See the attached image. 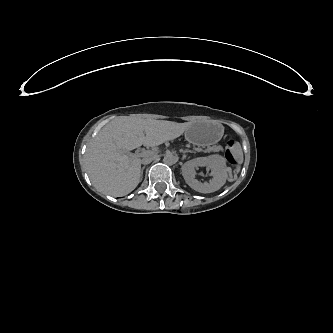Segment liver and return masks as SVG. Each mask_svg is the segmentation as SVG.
<instances>
[{"mask_svg": "<svg viewBox=\"0 0 333 333\" xmlns=\"http://www.w3.org/2000/svg\"><path fill=\"white\" fill-rule=\"evenodd\" d=\"M178 133L144 134L113 137L101 134L91 141L86 151L87 171L96 188L110 194L134 190L140 180L141 159L129 154L142 145L157 146L176 138Z\"/></svg>", "mask_w": 333, "mask_h": 333, "instance_id": "1", "label": "liver"}]
</instances>
